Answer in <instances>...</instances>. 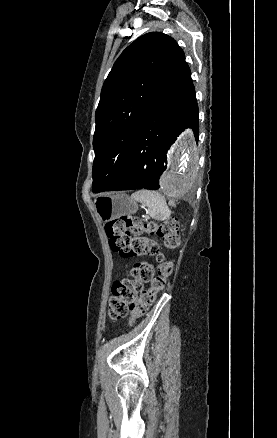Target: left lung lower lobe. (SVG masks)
<instances>
[{
	"label": "left lung lower lobe",
	"mask_w": 277,
	"mask_h": 438,
	"mask_svg": "<svg viewBox=\"0 0 277 438\" xmlns=\"http://www.w3.org/2000/svg\"><path fill=\"white\" fill-rule=\"evenodd\" d=\"M198 137V115L180 111L171 103L150 98L138 120L130 157L118 179L104 191L159 188L167 168L166 153L186 127Z\"/></svg>",
	"instance_id": "0a47b994"
}]
</instances>
